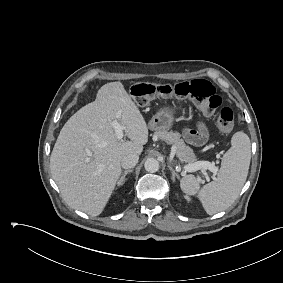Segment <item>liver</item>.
Returning a JSON list of instances; mask_svg holds the SVG:
<instances>
[{
    "label": "liver",
    "mask_w": 283,
    "mask_h": 283,
    "mask_svg": "<svg viewBox=\"0 0 283 283\" xmlns=\"http://www.w3.org/2000/svg\"><path fill=\"white\" fill-rule=\"evenodd\" d=\"M125 127L128 141L116 137L113 121ZM148 126L121 82L103 85L96 100L65 123L50 157L52 177L66 203L91 216L104 210L118 178L121 160L140 155Z\"/></svg>",
    "instance_id": "1"
}]
</instances>
